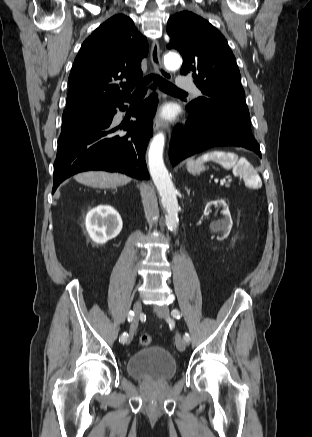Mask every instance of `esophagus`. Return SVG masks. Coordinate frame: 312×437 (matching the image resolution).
<instances>
[{"label":"esophagus","instance_id":"obj_1","mask_svg":"<svg viewBox=\"0 0 312 437\" xmlns=\"http://www.w3.org/2000/svg\"><path fill=\"white\" fill-rule=\"evenodd\" d=\"M150 58L156 72L161 76V78L170 81L172 79V75L162 65L160 59V48L157 41L152 43ZM162 128L169 133L167 123L161 118L157 117L154 122V130L157 131Z\"/></svg>","mask_w":312,"mask_h":437}]
</instances>
